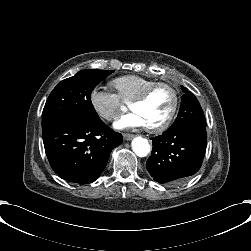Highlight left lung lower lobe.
Wrapping results in <instances>:
<instances>
[{
	"mask_svg": "<svg viewBox=\"0 0 251 251\" xmlns=\"http://www.w3.org/2000/svg\"><path fill=\"white\" fill-rule=\"evenodd\" d=\"M153 149L146 168L156 182L178 184L201 167L206 151V126L189 124L151 138Z\"/></svg>",
	"mask_w": 251,
	"mask_h": 251,
	"instance_id": "0a47b994",
	"label": "left lung lower lobe"
}]
</instances>
